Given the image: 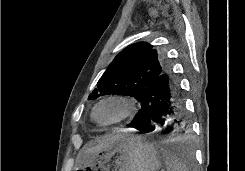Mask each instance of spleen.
Returning <instances> with one entry per match:
<instances>
[{"label":"spleen","instance_id":"spleen-1","mask_svg":"<svg viewBox=\"0 0 245 171\" xmlns=\"http://www.w3.org/2000/svg\"><path fill=\"white\" fill-rule=\"evenodd\" d=\"M162 156L167 171H189L186 164L180 160L175 154L162 149ZM163 171V170H162Z\"/></svg>","mask_w":245,"mask_h":171}]
</instances>
